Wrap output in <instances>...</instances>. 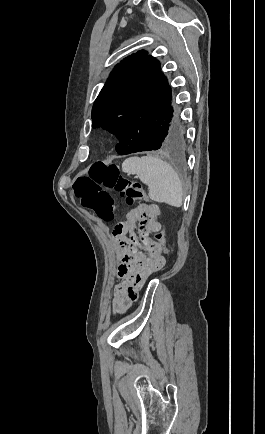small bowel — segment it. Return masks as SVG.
Returning <instances> with one entry per match:
<instances>
[{
  "label": "small bowel",
  "mask_w": 265,
  "mask_h": 434,
  "mask_svg": "<svg viewBox=\"0 0 265 434\" xmlns=\"http://www.w3.org/2000/svg\"><path fill=\"white\" fill-rule=\"evenodd\" d=\"M160 210L156 204H142L131 209L123 223L131 233L114 238L120 246L119 265L116 277L120 283L113 288L112 313L125 314L137 300V292L145 279L151 274H157V265L163 268L165 258L163 251L151 235L162 229L159 222ZM139 235L140 243L137 240ZM141 250H138V246ZM149 267V268H148Z\"/></svg>",
  "instance_id": "obj_1"
}]
</instances>
